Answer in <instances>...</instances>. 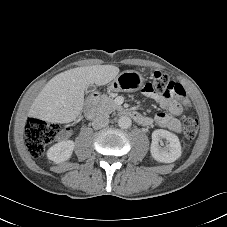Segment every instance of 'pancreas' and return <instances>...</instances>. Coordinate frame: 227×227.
Instances as JSON below:
<instances>
[{
    "mask_svg": "<svg viewBox=\"0 0 227 227\" xmlns=\"http://www.w3.org/2000/svg\"><path fill=\"white\" fill-rule=\"evenodd\" d=\"M117 109H119V106L114 102V100L111 97L107 95H102L99 98L95 107V111L98 115L105 116H108Z\"/></svg>",
    "mask_w": 227,
    "mask_h": 227,
    "instance_id": "cf45deb5",
    "label": "pancreas"
}]
</instances>
